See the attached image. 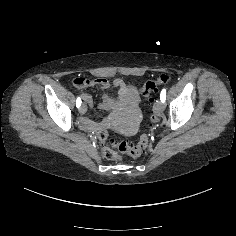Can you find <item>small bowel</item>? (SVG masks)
I'll list each match as a JSON object with an SVG mask.
<instances>
[{"mask_svg":"<svg viewBox=\"0 0 236 236\" xmlns=\"http://www.w3.org/2000/svg\"><path fill=\"white\" fill-rule=\"evenodd\" d=\"M120 83H121V82H120L119 80H115V81H114V84H115V85H119ZM99 84L105 85V84H103V83H99ZM84 100H85L86 102H88V100H89L88 103H91V99H90V97L87 96V95L84 96Z\"/></svg>","mask_w":236,"mask_h":236,"instance_id":"c3829d8e","label":"small bowel"}]
</instances>
